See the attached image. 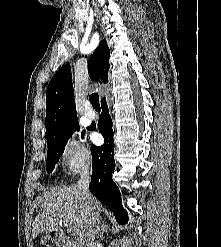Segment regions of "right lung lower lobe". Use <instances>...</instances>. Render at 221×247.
<instances>
[{
    "label": "right lung lower lobe",
    "mask_w": 221,
    "mask_h": 247,
    "mask_svg": "<svg viewBox=\"0 0 221 247\" xmlns=\"http://www.w3.org/2000/svg\"><path fill=\"white\" fill-rule=\"evenodd\" d=\"M102 113L98 121L99 132L104 137L102 146H91L92 154V176L89 189L115 215L120 224L127 223V212L122 207L119 188L112 180L115 169L114 142L112 120L109 115L106 99L101 101ZM93 130L92 128H88Z\"/></svg>",
    "instance_id": "1"
}]
</instances>
